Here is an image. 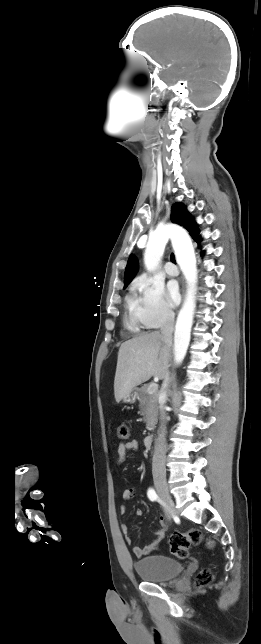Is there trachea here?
<instances>
[{
    "mask_svg": "<svg viewBox=\"0 0 261 644\" xmlns=\"http://www.w3.org/2000/svg\"><path fill=\"white\" fill-rule=\"evenodd\" d=\"M171 261H172L173 263H176V261H175V257H174V255H173V254H171Z\"/></svg>",
    "mask_w": 261,
    "mask_h": 644,
    "instance_id": "obj_1",
    "label": "trachea"
}]
</instances>
